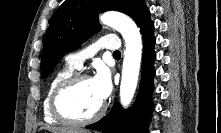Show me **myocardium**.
Instances as JSON below:
<instances>
[{
    "instance_id": "obj_1",
    "label": "myocardium",
    "mask_w": 221,
    "mask_h": 133,
    "mask_svg": "<svg viewBox=\"0 0 221 133\" xmlns=\"http://www.w3.org/2000/svg\"><path fill=\"white\" fill-rule=\"evenodd\" d=\"M83 80H90V77L84 73H76L62 80L53 90L50 97V110L55 118L62 123L69 125L82 126L92 123L101 118L106 110L104 102L101 103L98 110L92 115L85 118H75L65 113L61 107V99L73 86Z\"/></svg>"
}]
</instances>
